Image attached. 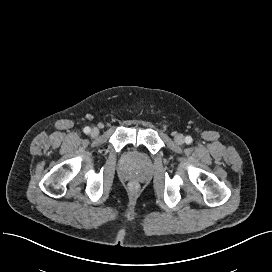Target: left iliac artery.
Returning a JSON list of instances; mask_svg holds the SVG:
<instances>
[{
    "instance_id": "44dca946",
    "label": "left iliac artery",
    "mask_w": 272,
    "mask_h": 272,
    "mask_svg": "<svg viewBox=\"0 0 272 272\" xmlns=\"http://www.w3.org/2000/svg\"><path fill=\"white\" fill-rule=\"evenodd\" d=\"M192 141H193V139H192L191 136H187V137L185 138V142H186L187 144H191Z\"/></svg>"
}]
</instances>
